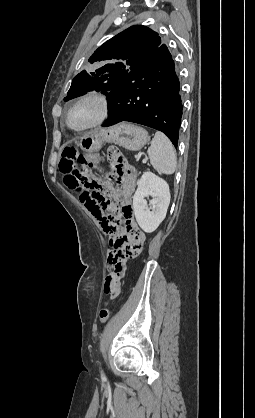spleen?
<instances>
[{"label":"spleen","instance_id":"1","mask_svg":"<svg viewBox=\"0 0 255 418\" xmlns=\"http://www.w3.org/2000/svg\"><path fill=\"white\" fill-rule=\"evenodd\" d=\"M150 163L159 174H173L177 158L174 147L168 137L160 131L155 133L147 151Z\"/></svg>","mask_w":255,"mask_h":418}]
</instances>
